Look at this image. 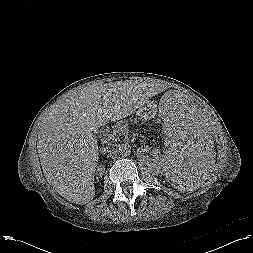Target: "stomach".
<instances>
[{"mask_svg":"<svg viewBox=\"0 0 253 253\" xmlns=\"http://www.w3.org/2000/svg\"><path fill=\"white\" fill-rule=\"evenodd\" d=\"M136 114L140 120L147 121L155 116L154 106L146 103L137 109Z\"/></svg>","mask_w":253,"mask_h":253,"instance_id":"stomach-1","label":"stomach"}]
</instances>
